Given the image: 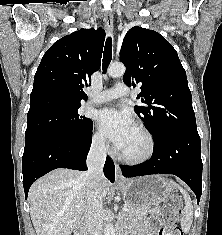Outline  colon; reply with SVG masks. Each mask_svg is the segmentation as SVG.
I'll return each instance as SVG.
<instances>
[{
    "label": "colon",
    "mask_w": 222,
    "mask_h": 235,
    "mask_svg": "<svg viewBox=\"0 0 222 235\" xmlns=\"http://www.w3.org/2000/svg\"><path fill=\"white\" fill-rule=\"evenodd\" d=\"M182 213V202L178 197L168 199L163 208L164 227L160 235H183L176 227L177 217Z\"/></svg>",
    "instance_id": "5ec220e1"
}]
</instances>
